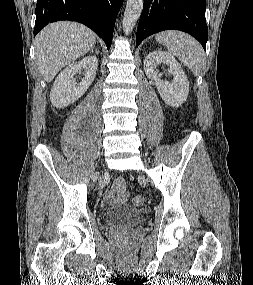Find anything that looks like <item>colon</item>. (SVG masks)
Here are the masks:
<instances>
[{"label": "colon", "mask_w": 253, "mask_h": 285, "mask_svg": "<svg viewBox=\"0 0 253 285\" xmlns=\"http://www.w3.org/2000/svg\"><path fill=\"white\" fill-rule=\"evenodd\" d=\"M134 206L140 207L145 203V198L143 196L137 195L131 200Z\"/></svg>", "instance_id": "5ec220e1"}]
</instances>
